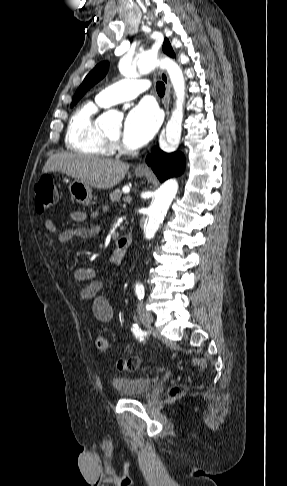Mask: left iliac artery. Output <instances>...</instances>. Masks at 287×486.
Instances as JSON below:
<instances>
[{
    "label": "left iliac artery",
    "instance_id": "obj_1",
    "mask_svg": "<svg viewBox=\"0 0 287 486\" xmlns=\"http://www.w3.org/2000/svg\"><path fill=\"white\" fill-rule=\"evenodd\" d=\"M135 293L138 297L139 300L143 299L144 298V294H145V291H144V287L142 285H137L136 288H135ZM132 331L134 333V335L136 336V338H138L140 341H142L144 338H143V332L138 328L137 325H134L133 328H132Z\"/></svg>",
    "mask_w": 287,
    "mask_h": 486
}]
</instances>
